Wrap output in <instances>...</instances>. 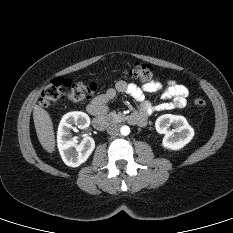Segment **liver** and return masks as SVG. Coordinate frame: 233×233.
<instances>
[{
	"label": "liver",
	"instance_id": "1",
	"mask_svg": "<svg viewBox=\"0 0 233 233\" xmlns=\"http://www.w3.org/2000/svg\"><path fill=\"white\" fill-rule=\"evenodd\" d=\"M33 120L41 146L49 153L54 152L55 135L49 113L40 106L35 105L33 109Z\"/></svg>",
	"mask_w": 233,
	"mask_h": 233
}]
</instances>
